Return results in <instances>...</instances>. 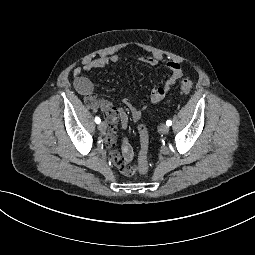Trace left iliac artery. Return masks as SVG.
<instances>
[{
	"label": "left iliac artery",
	"instance_id": "1",
	"mask_svg": "<svg viewBox=\"0 0 255 255\" xmlns=\"http://www.w3.org/2000/svg\"><path fill=\"white\" fill-rule=\"evenodd\" d=\"M171 124H172V121L171 120H167L166 125L167 126H171Z\"/></svg>",
	"mask_w": 255,
	"mask_h": 255
}]
</instances>
